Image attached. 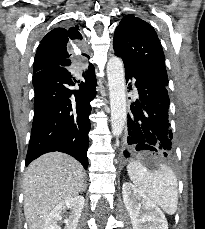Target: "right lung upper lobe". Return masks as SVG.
I'll use <instances>...</instances> for the list:
<instances>
[{
  "mask_svg": "<svg viewBox=\"0 0 205 229\" xmlns=\"http://www.w3.org/2000/svg\"><path fill=\"white\" fill-rule=\"evenodd\" d=\"M81 41L82 35L79 32L78 25L66 29L56 28L50 31L38 46L33 72L36 73L51 66H61L69 69L73 62V51H78L81 48ZM82 55L88 57L86 54Z\"/></svg>",
  "mask_w": 205,
  "mask_h": 229,
  "instance_id": "1",
  "label": "right lung upper lobe"
}]
</instances>
